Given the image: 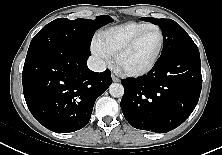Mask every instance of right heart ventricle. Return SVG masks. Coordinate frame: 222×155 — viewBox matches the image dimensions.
Returning a JSON list of instances; mask_svg holds the SVG:
<instances>
[{
  "instance_id": "e07e8e85",
  "label": "right heart ventricle",
  "mask_w": 222,
  "mask_h": 155,
  "mask_svg": "<svg viewBox=\"0 0 222 155\" xmlns=\"http://www.w3.org/2000/svg\"><path fill=\"white\" fill-rule=\"evenodd\" d=\"M149 22L129 21L101 31L97 41L110 55L115 54L126 42L140 31L152 26Z\"/></svg>"
}]
</instances>
